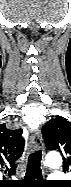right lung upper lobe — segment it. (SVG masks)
<instances>
[{
  "label": "right lung upper lobe",
  "mask_w": 71,
  "mask_h": 187,
  "mask_svg": "<svg viewBox=\"0 0 71 187\" xmlns=\"http://www.w3.org/2000/svg\"><path fill=\"white\" fill-rule=\"evenodd\" d=\"M22 130H12L0 125V159L7 172H15V161L20 158L24 149Z\"/></svg>",
  "instance_id": "obj_1"
}]
</instances>
